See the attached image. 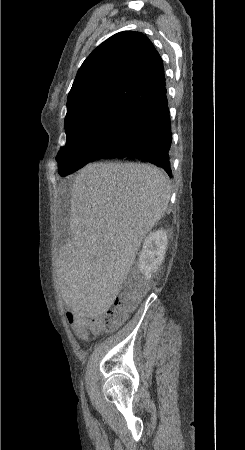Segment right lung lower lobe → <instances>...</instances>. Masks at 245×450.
<instances>
[{"mask_svg": "<svg viewBox=\"0 0 245 450\" xmlns=\"http://www.w3.org/2000/svg\"><path fill=\"white\" fill-rule=\"evenodd\" d=\"M126 135L106 152L91 161L103 158H135L163 168L171 176V124L166 91L132 117Z\"/></svg>", "mask_w": 245, "mask_h": 450, "instance_id": "1", "label": "right lung lower lobe"}]
</instances>
